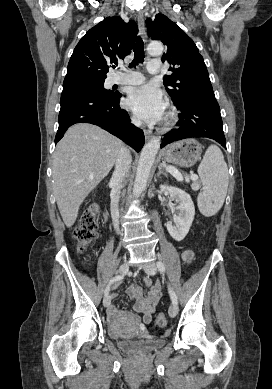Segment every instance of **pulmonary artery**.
I'll list each match as a JSON object with an SVG mask.
<instances>
[{"instance_id":"1","label":"pulmonary artery","mask_w":272,"mask_h":389,"mask_svg":"<svg viewBox=\"0 0 272 389\" xmlns=\"http://www.w3.org/2000/svg\"><path fill=\"white\" fill-rule=\"evenodd\" d=\"M147 71L150 74H156L161 71V63L157 60L150 61L147 66ZM145 81V77L140 72H127L123 74L116 75L112 82L114 84H129V85H138L142 84Z\"/></svg>"}]
</instances>
